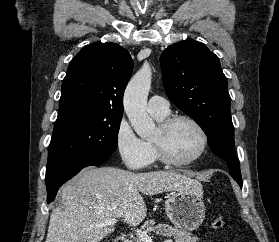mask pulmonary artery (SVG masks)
<instances>
[{"instance_id":"pulmonary-artery-1","label":"pulmonary artery","mask_w":279,"mask_h":242,"mask_svg":"<svg viewBox=\"0 0 279 242\" xmlns=\"http://www.w3.org/2000/svg\"><path fill=\"white\" fill-rule=\"evenodd\" d=\"M148 110L153 113L167 114L169 113V102L162 96L154 95L148 101Z\"/></svg>"}]
</instances>
